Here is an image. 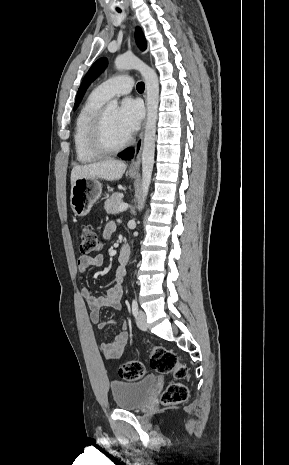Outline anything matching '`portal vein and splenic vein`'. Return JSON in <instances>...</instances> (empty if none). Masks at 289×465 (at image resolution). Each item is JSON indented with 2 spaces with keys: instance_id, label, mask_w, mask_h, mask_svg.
Returning <instances> with one entry per match:
<instances>
[{
  "instance_id": "1",
  "label": "portal vein and splenic vein",
  "mask_w": 289,
  "mask_h": 465,
  "mask_svg": "<svg viewBox=\"0 0 289 465\" xmlns=\"http://www.w3.org/2000/svg\"><path fill=\"white\" fill-rule=\"evenodd\" d=\"M128 204L127 203H123L119 206V211H125L127 208H128Z\"/></svg>"
}]
</instances>
